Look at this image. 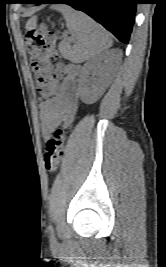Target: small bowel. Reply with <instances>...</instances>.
I'll list each match as a JSON object with an SVG mask.
<instances>
[{"label":"small bowel","mask_w":166,"mask_h":267,"mask_svg":"<svg viewBox=\"0 0 166 267\" xmlns=\"http://www.w3.org/2000/svg\"><path fill=\"white\" fill-rule=\"evenodd\" d=\"M65 71L60 90L47 102L40 106L41 127L44 138L60 125H69L77 111V95L75 93L78 69L74 66L60 67Z\"/></svg>","instance_id":"small-bowel-1"}]
</instances>
